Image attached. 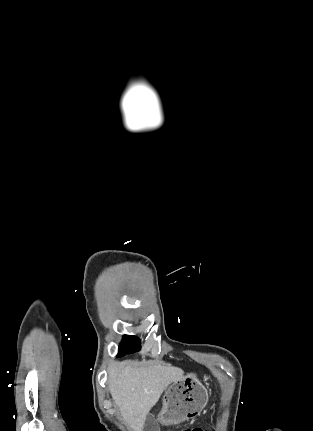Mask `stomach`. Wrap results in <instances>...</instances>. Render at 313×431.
Returning <instances> with one entry per match:
<instances>
[{
	"mask_svg": "<svg viewBox=\"0 0 313 431\" xmlns=\"http://www.w3.org/2000/svg\"><path fill=\"white\" fill-rule=\"evenodd\" d=\"M208 402V392L194 374L173 382L166 390L163 408L158 415L162 424L189 421L200 414Z\"/></svg>",
	"mask_w": 313,
	"mask_h": 431,
	"instance_id": "stomach-1",
	"label": "stomach"
}]
</instances>
